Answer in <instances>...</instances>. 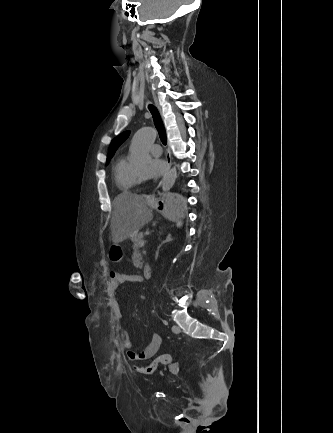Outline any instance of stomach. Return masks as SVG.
<instances>
[{"instance_id": "0dacf381", "label": "stomach", "mask_w": 333, "mask_h": 433, "mask_svg": "<svg viewBox=\"0 0 333 433\" xmlns=\"http://www.w3.org/2000/svg\"><path fill=\"white\" fill-rule=\"evenodd\" d=\"M153 206L161 209L164 220H182L183 215L186 214L188 204L187 201L182 200L178 191H172L169 195H165L164 201L161 204L154 200ZM134 236L136 234L131 235V237Z\"/></svg>"}]
</instances>
